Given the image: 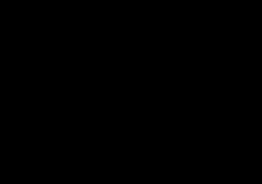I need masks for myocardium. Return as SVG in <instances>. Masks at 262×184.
I'll return each mask as SVG.
<instances>
[{"label":"myocardium","mask_w":262,"mask_h":184,"mask_svg":"<svg viewBox=\"0 0 262 184\" xmlns=\"http://www.w3.org/2000/svg\"><path fill=\"white\" fill-rule=\"evenodd\" d=\"M160 63H161V69H160L159 74H162L167 68V60L162 57L160 58Z\"/></svg>","instance_id":"f54148a6"}]
</instances>
